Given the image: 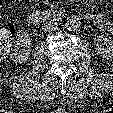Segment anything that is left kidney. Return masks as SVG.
I'll return each mask as SVG.
<instances>
[{
  "label": "left kidney",
  "mask_w": 113,
  "mask_h": 113,
  "mask_svg": "<svg viewBox=\"0 0 113 113\" xmlns=\"http://www.w3.org/2000/svg\"><path fill=\"white\" fill-rule=\"evenodd\" d=\"M95 51L98 56L113 59V40L107 35H97L94 38Z\"/></svg>",
  "instance_id": "obj_1"
}]
</instances>
